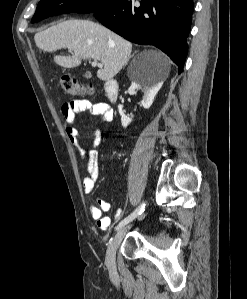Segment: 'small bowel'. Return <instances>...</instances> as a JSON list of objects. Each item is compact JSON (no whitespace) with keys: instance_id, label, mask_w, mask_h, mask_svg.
<instances>
[{"instance_id":"1","label":"small bowel","mask_w":247,"mask_h":299,"mask_svg":"<svg viewBox=\"0 0 247 299\" xmlns=\"http://www.w3.org/2000/svg\"><path fill=\"white\" fill-rule=\"evenodd\" d=\"M85 111L89 112L91 115L99 116L104 122H110L113 119V112L110 106L104 102H92L87 99H77L64 103L61 108L64 119V130L68 139L76 145L78 144L80 137L79 131L75 127L76 115ZM100 142L101 133L99 130H96L94 139L91 143L93 148L90 150L80 149L83 166L87 173L82 182L83 190L86 194L93 192L99 178L98 151L96 150V147L99 146ZM110 209L111 204L102 198H97V205H92L89 208L92 219L101 230H107L110 226V217L103 215V212H108ZM122 215V210L117 209L114 215L115 220H120Z\"/></svg>"}]
</instances>
